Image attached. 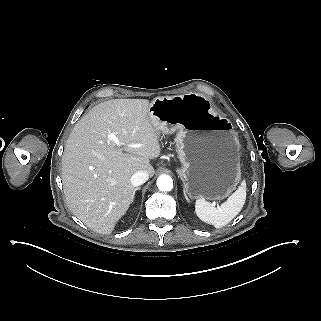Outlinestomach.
I'll list each match as a JSON object with an SVG mask.
<instances>
[{"label":"stomach","instance_id":"1","mask_svg":"<svg viewBox=\"0 0 321 321\" xmlns=\"http://www.w3.org/2000/svg\"><path fill=\"white\" fill-rule=\"evenodd\" d=\"M149 114L158 135L174 134L176 170L190 199L221 201L241 181V146L233 122L210 109L199 93L157 96Z\"/></svg>","mask_w":321,"mask_h":321}]
</instances>
